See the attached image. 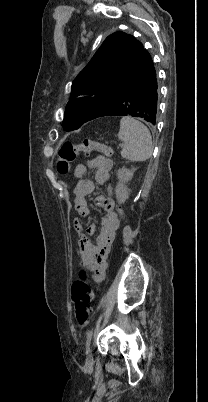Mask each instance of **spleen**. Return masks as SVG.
Wrapping results in <instances>:
<instances>
[{
	"instance_id": "obj_1",
	"label": "spleen",
	"mask_w": 208,
	"mask_h": 402,
	"mask_svg": "<svg viewBox=\"0 0 208 402\" xmlns=\"http://www.w3.org/2000/svg\"><path fill=\"white\" fill-rule=\"evenodd\" d=\"M119 140L124 142L121 156L131 162H145L153 152L152 136L141 122L131 116H124L120 122Z\"/></svg>"
}]
</instances>
